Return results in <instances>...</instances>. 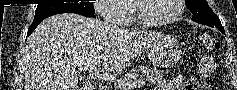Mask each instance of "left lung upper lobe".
<instances>
[{"label": "left lung upper lobe", "instance_id": "5c2ea615", "mask_svg": "<svg viewBox=\"0 0 237 90\" xmlns=\"http://www.w3.org/2000/svg\"><path fill=\"white\" fill-rule=\"evenodd\" d=\"M185 2L193 13L192 21L224 31L218 16L210 9L206 0H185Z\"/></svg>", "mask_w": 237, "mask_h": 90}]
</instances>
